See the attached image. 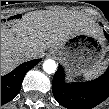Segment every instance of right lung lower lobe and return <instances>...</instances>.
<instances>
[{"label":"right lung lower lobe","mask_w":109,"mask_h":109,"mask_svg":"<svg viewBox=\"0 0 109 109\" xmlns=\"http://www.w3.org/2000/svg\"><path fill=\"white\" fill-rule=\"evenodd\" d=\"M41 59L25 62L12 72L1 77V105L11 101L19 92L27 71L33 68Z\"/></svg>","instance_id":"obj_1"}]
</instances>
